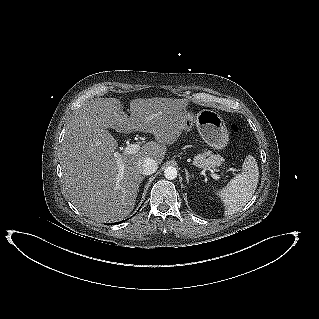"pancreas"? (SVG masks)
<instances>
[{
    "instance_id": "cf45deb5",
    "label": "pancreas",
    "mask_w": 319,
    "mask_h": 319,
    "mask_svg": "<svg viewBox=\"0 0 319 319\" xmlns=\"http://www.w3.org/2000/svg\"><path fill=\"white\" fill-rule=\"evenodd\" d=\"M223 159L219 155H212L209 151H204V153H200L194 157L193 164L196 167L203 169H214L217 166H220Z\"/></svg>"
}]
</instances>
